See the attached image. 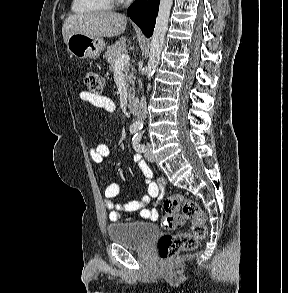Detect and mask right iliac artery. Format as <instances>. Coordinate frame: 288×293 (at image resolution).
Returning <instances> with one entry per match:
<instances>
[{
  "label": "right iliac artery",
  "instance_id": "right-iliac-artery-1",
  "mask_svg": "<svg viewBox=\"0 0 288 293\" xmlns=\"http://www.w3.org/2000/svg\"><path fill=\"white\" fill-rule=\"evenodd\" d=\"M137 130H138L137 126H131V127H130V133H131V134L136 133Z\"/></svg>",
  "mask_w": 288,
  "mask_h": 293
}]
</instances>
